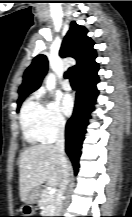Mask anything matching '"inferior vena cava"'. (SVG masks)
<instances>
[{"mask_svg":"<svg viewBox=\"0 0 132 217\" xmlns=\"http://www.w3.org/2000/svg\"><path fill=\"white\" fill-rule=\"evenodd\" d=\"M64 129H65V122L62 121L59 126H58V131H57V139L55 143V147L58 151L59 157H60V162L62 166V171L64 175V180L60 185V189L58 192V197H57V206H56V214L60 215L62 213V196L63 192L65 191L69 176H70V171L72 170L71 166L69 165L66 157H65V138H64Z\"/></svg>","mask_w":132,"mask_h":217,"instance_id":"inferior-vena-cava-1","label":"inferior vena cava"}]
</instances>
